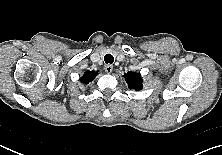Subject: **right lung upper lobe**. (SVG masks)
I'll list each match as a JSON object with an SVG mask.
<instances>
[{
    "instance_id": "obj_1",
    "label": "right lung upper lobe",
    "mask_w": 222,
    "mask_h": 155,
    "mask_svg": "<svg viewBox=\"0 0 222 155\" xmlns=\"http://www.w3.org/2000/svg\"><path fill=\"white\" fill-rule=\"evenodd\" d=\"M98 75L95 71H86L84 75L81 77V82L84 84H88Z\"/></svg>"
}]
</instances>
